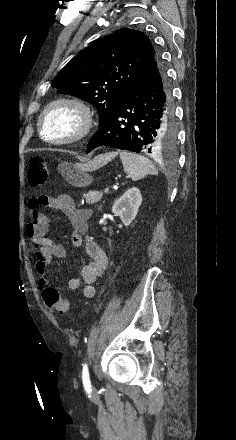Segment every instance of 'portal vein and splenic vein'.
Segmentation results:
<instances>
[{
	"label": "portal vein and splenic vein",
	"mask_w": 236,
	"mask_h": 440,
	"mask_svg": "<svg viewBox=\"0 0 236 440\" xmlns=\"http://www.w3.org/2000/svg\"><path fill=\"white\" fill-rule=\"evenodd\" d=\"M109 192V188H105V193L107 194Z\"/></svg>",
	"instance_id": "1"
}]
</instances>
